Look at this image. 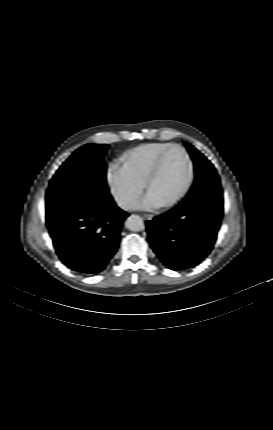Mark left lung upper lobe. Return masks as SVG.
I'll return each mask as SVG.
<instances>
[{
    "instance_id": "5c2ea615",
    "label": "left lung upper lobe",
    "mask_w": 273,
    "mask_h": 430,
    "mask_svg": "<svg viewBox=\"0 0 273 430\" xmlns=\"http://www.w3.org/2000/svg\"><path fill=\"white\" fill-rule=\"evenodd\" d=\"M184 144L187 147L195 166L196 180L192 189L203 185L206 180L219 181L217 171L210 161H208L203 154L189 143L184 142Z\"/></svg>"
}]
</instances>
